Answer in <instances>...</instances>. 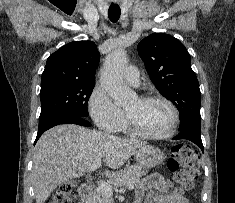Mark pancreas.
I'll return each instance as SVG.
<instances>
[{"label": "pancreas", "mask_w": 235, "mask_h": 203, "mask_svg": "<svg viewBox=\"0 0 235 203\" xmlns=\"http://www.w3.org/2000/svg\"><path fill=\"white\" fill-rule=\"evenodd\" d=\"M147 171L141 166H130L116 173L108 184L112 186H124L137 184ZM91 203H113V199L107 196L99 187L95 189L91 197Z\"/></svg>", "instance_id": "pancreas-1"}]
</instances>
